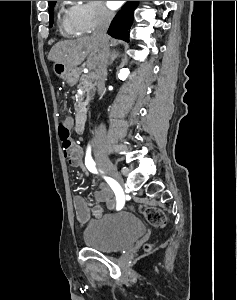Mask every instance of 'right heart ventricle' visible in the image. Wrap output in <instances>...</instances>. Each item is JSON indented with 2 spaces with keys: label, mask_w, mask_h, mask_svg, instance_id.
<instances>
[{
  "label": "right heart ventricle",
  "mask_w": 237,
  "mask_h": 300,
  "mask_svg": "<svg viewBox=\"0 0 237 300\" xmlns=\"http://www.w3.org/2000/svg\"><path fill=\"white\" fill-rule=\"evenodd\" d=\"M60 27L61 30L67 35H73L76 33L69 10L64 9L61 11Z\"/></svg>",
  "instance_id": "obj_1"
}]
</instances>
